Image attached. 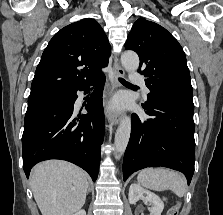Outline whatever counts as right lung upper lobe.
<instances>
[{
    "label": "right lung upper lobe",
    "instance_id": "right-lung-upper-lobe-1",
    "mask_svg": "<svg viewBox=\"0 0 223 215\" xmlns=\"http://www.w3.org/2000/svg\"><path fill=\"white\" fill-rule=\"evenodd\" d=\"M110 49L103 29L94 19L86 18L62 28L42 54L30 94L74 93L102 74Z\"/></svg>",
    "mask_w": 223,
    "mask_h": 215
}]
</instances>
